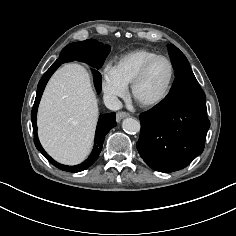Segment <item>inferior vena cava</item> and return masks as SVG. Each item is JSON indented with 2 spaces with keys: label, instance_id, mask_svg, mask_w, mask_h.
Masks as SVG:
<instances>
[{
  "label": "inferior vena cava",
  "instance_id": "inferior-vena-cava-1",
  "mask_svg": "<svg viewBox=\"0 0 236 236\" xmlns=\"http://www.w3.org/2000/svg\"><path fill=\"white\" fill-rule=\"evenodd\" d=\"M105 106L110 110H119L122 108L121 101L114 95H105L104 96Z\"/></svg>",
  "mask_w": 236,
  "mask_h": 236
}]
</instances>
